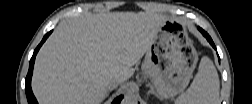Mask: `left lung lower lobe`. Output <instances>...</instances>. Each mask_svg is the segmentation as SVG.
<instances>
[{
  "instance_id": "0a47b994",
  "label": "left lung lower lobe",
  "mask_w": 252,
  "mask_h": 104,
  "mask_svg": "<svg viewBox=\"0 0 252 104\" xmlns=\"http://www.w3.org/2000/svg\"><path fill=\"white\" fill-rule=\"evenodd\" d=\"M199 31L206 37V39L209 41V43L214 47V49H216L211 37L200 27H198ZM220 60V59H219Z\"/></svg>"
}]
</instances>
